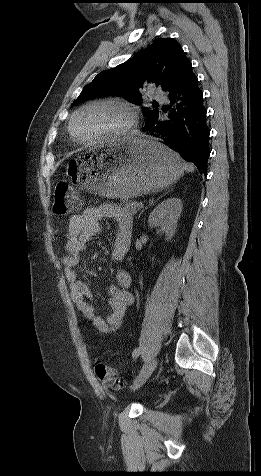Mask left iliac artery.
Segmentation results:
<instances>
[{
	"instance_id": "left-iliac-artery-1",
	"label": "left iliac artery",
	"mask_w": 261,
	"mask_h": 476,
	"mask_svg": "<svg viewBox=\"0 0 261 476\" xmlns=\"http://www.w3.org/2000/svg\"><path fill=\"white\" fill-rule=\"evenodd\" d=\"M141 351V348H136L132 353L133 358H137L141 354Z\"/></svg>"
}]
</instances>
